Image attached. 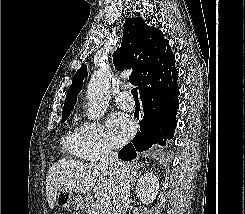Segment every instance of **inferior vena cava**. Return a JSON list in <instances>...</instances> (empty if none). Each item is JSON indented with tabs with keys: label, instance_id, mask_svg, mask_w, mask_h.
I'll return each instance as SVG.
<instances>
[{
	"label": "inferior vena cava",
	"instance_id": "obj_1",
	"mask_svg": "<svg viewBox=\"0 0 245 214\" xmlns=\"http://www.w3.org/2000/svg\"><path fill=\"white\" fill-rule=\"evenodd\" d=\"M100 154L99 166L109 169L116 175L113 188V214H126L131 181L129 166L119 161L117 153L107 145H102Z\"/></svg>",
	"mask_w": 245,
	"mask_h": 214
}]
</instances>
